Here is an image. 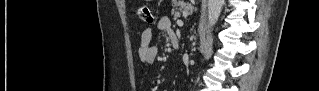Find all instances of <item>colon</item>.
Wrapping results in <instances>:
<instances>
[{
  "label": "colon",
  "instance_id": "1",
  "mask_svg": "<svg viewBox=\"0 0 319 91\" xmlns=\"http://www.w3.org/2000/svg\"><path fill=\"white\" fill-rule=\"evenodd\" d=\"M137 16L138 18L143 21L144 23L146 24H153L154 23V17L151 13V10L148 6L146 5H142V6H139L137 8Z\"/></svg>",
  "mask_w": 319,
  "mask_h": 91
}]
</instances>
